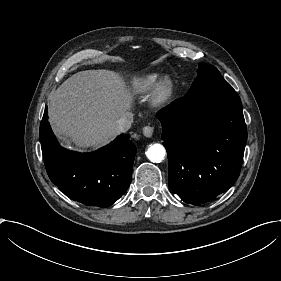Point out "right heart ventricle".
<instances>
[{"mask_svg":"<svg viewBox=\"0 0 281 281\" xmlns=\"http://www.w3.org/2000/svg\"><path fill=\"white\" fill-rule=\"evenodd\" d=\"M157 80H158V77L156 75H148L144 79L143 84L145 87H151L157 82Z\"/></svg>","mask_w":281,"mask_h":281,"instance_id":"obj_1","label":"right heart ventricle"}]
</instances>
